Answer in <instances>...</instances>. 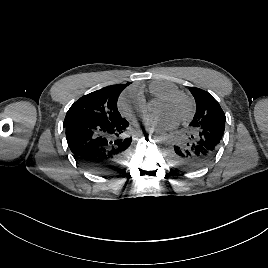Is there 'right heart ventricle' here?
I'll list each match as a JSON object with an SVG mask.
<instances>
[{
	"mask_svg": "<svg viewBox=\"0 0 268 268\" xmlns=\"http://www.w3.org/2000/svg\"><path fill=\"white\" fill-rule=\"evenodd\" d=\"M176 90H178L176 84L165 79L154 80L147 88L150 97L154 100ZM140 93L142 94V91H140Z\"/></svg>",
	"mask_w": 268,
	"mask_h": 268,
	"instance_id": "obj_1",
	"label": "right heart ventricle"
}]
</instances>
